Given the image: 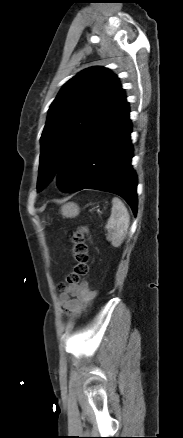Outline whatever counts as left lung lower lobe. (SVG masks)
I'll use <instances>...</instances> for the list:
<instances>
[{
	"label": "left lung lower lobe",
	"mask_w": 183,
	"mask_h": 438,
	"mask_svg": "<svg viewBox=\"0 0 183 438\" xmlns=\"http://www.w3.org/2000/svg\"><path fill=\"white\" fill-rule=\"evenodd\" d=\"M129 105L125 102L64 160L57 183L65 192L97 189L115 193L137 212V176L131 166Z\"/></svg>",
	"instance_id": "obj_1"
}]
</instances>
